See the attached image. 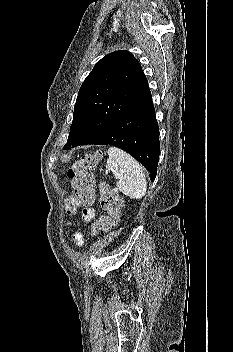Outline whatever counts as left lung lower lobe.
I'll return each instance as SVG.
<instances>
[{"label": "left lung lower lobe", "mask_w": 233, "mask_h": 352, "mask_svg": "<svg viewBox=\"0 0 233 352\" xmlns=\"http://www.w3.org/2000/svg\"><path fill=\"white\" fill-rule=\"evenodd\" d=\"M88 144L113 145L132 155L155 180L159 160V129L151 96L120 117L103 135Z\"/></svg>", "instance_id": "left-lung-lower-lobe-1"}]
</instances>
